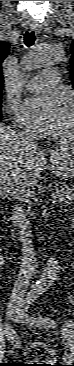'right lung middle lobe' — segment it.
<instances>
[{"label": "right lung middle lobe", "instance_id": "1", "mask_svg": "<svg viewBox=\"0 0 74 366\" xmlns=\"http://www.w3.org/2000/svg\"><path fill=\"white\" fill-rule=\"evenodd\" d=\"M1 100H2V93H0V102H1Z\"/></svg>", "mask_w": 74, "mask_h": 366}]
</instances>
